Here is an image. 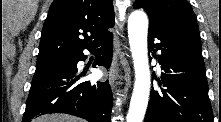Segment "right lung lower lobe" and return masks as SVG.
<instances>
[{
	"instance_id": "right-lung-lower-lobe-1",
	"label": "right lung lower lobe",
	"mask_w": 221,
	"mask_h": 122,
	"mask_svg": "<svg viewBox=\"0 0 221 122\" xmlns=\"http://www.w3.org/2000/svg\"><path fill=\"white\" fill-rule=\"evenodd\" d=\"M112 41L110 33L87 48L99 54L93 67L110 66ZM85 59L82 51L67 63L35 73L22 122H30L46 113H67L89 122H110L113 99L108 80L96 84L78 82L81 75H78L76 65Z\"/></svg>"
}]
</instances>
